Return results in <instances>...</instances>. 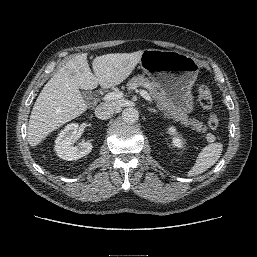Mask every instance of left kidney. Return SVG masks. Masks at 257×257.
<instances>
[{
    "label": "left kidney",
    "instance_id": "5707ae66",
    "mask_svg": "<svg viewBox=\"0 0 257 257\" xmlns=\"http://www.w3.org/2000/svg\"><path fill=\"white\" fill-rule=\"evenodd\" d=\"M168 132L170 135H173L172 142L175 147H182L183 141L180 139V137L176 136V129L175 127L171 126L168 129Z\"/></svg>",
    "mask_w": 257,
    "mask_h": 257
}]
</instances>
